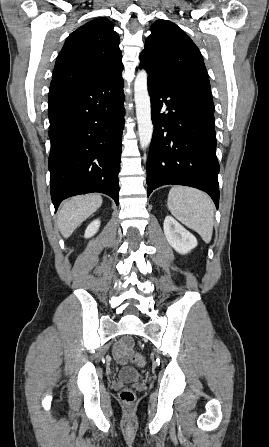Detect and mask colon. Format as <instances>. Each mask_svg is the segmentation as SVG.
I'll return each mask as SVG.
<instances>
[{"label": "colon", "mask_w": 269, "mask_h": 447, "mask_svg": "<svg viewBox=\"0 0 269 447\" xmlns=\"http://www.w3.org/2000/svg\"><path fill=\"white\" fill-rule=\"evenodd\" d=\"M124 347L126 348L127 360L129 363L136 364L138 366H144L146 364V360L143 356L129 350L130 342H126ZM119 399L122 404L129 406L135 402L136 395L131 388L126 387L120 391Z\"/></svg>", "instance_id": "1"}]
</instances>
